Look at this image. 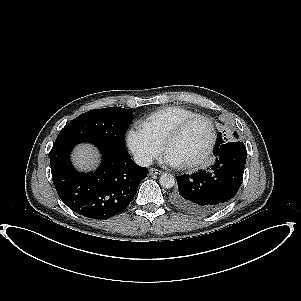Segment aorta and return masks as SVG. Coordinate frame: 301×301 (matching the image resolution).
<instances>
[{"instance_id":"aorta-1","label":"aorta","mask_w":301,"mask_h":301,"mask_svg":"<svg viewBox=\"0 0 301 301\" xmlns=\"http://www.w3.org/2000/svg\"><path fill=\"white\" fill-rule=\"evenodd\" d=\"M176 179L170 173H163L159 178V183L163 188H172L175 185Z\"/></svg>"}]
</instances>
